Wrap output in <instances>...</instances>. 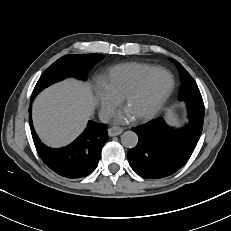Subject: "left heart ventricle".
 I'll list each match as a JSON object with an SVG mask.
<instances>
[{
	"instance_id": "1",
	"label": "left heart ventricle",
	"mask_w": 231,
	"mask_h": 231,
	"mask_svg": "<svg viewBox=\"0 0 231 231\" xmlns=\"http://www.w3.org/2000/svg\"><path fill=\"white\" fill-rule=\"evenodd\" d=\"M171 84V78L166 73L156 76L143 90L133 96L128 103L131 113L138 117L152 110L163 97Z\"/></svg>"
}]
</instances>
